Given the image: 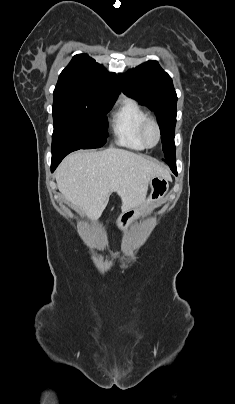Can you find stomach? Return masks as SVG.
Wrapping results in <instances>:
<instances>
[{
	"mask_svg": "<svg viewBox=\"0 0 235 404\" xmlns=\"http://www.w3.org/2000/svg\"><path fill=\"white\" fill-rule=\"evenodd\" d=\"M151 192L149 197L135 209L126 211L120 215L117 220L118 228L126 232L132 224L137 221L140 217L144 216L146 213L151 211L154 207L160 205L168 192L169 183L168 179L162 177H154L150 181Z\"/></svg>",
	"mask_w": 235,
	"mask_h": 404,
	"instance_id": "0dacf381",
	"label": "stomach"
}]
</instances>
